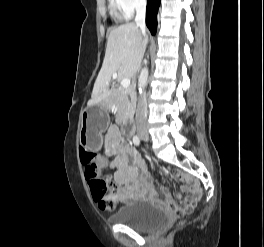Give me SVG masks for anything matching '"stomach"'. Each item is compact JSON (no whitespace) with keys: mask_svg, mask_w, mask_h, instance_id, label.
Listing matches in <instances>:
<instances>
[{"mask_svg":"<svg viewBox=\"0 0 264 247\" xmlns=\"http://www.w3.org/2000/svg\"><path fill=\"white\" fill-rule=\"evenodd\" d=\"M108 123L107 107L99 104L88 109L82 117L79 141L81 145L97 150L102 144V131Z\"/></svg>","mask_w":264,"mask_h":247,"instance_id":"obj_1","label":"stomach"}]
</instances>
